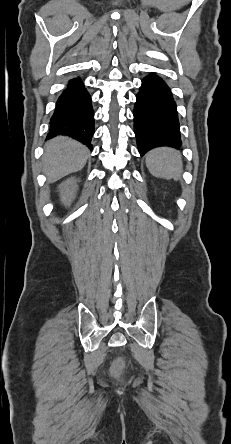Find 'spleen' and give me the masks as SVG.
Here are the masks:
<instances>
[{
	"instance_id": "1",
	"label": "spleen",
	"mask_w": 231,
	"mask_h": 444,
	"mask_svg": "<svg viewBox=\"0 0 231 444\" xmlns=\"http://www.w3.org/2000/svg\"><path fill=\"white\" fill-rule=\"evenodd\" d=\"M146 166L153 176L167 180L180 179L183 170L180 152L169 147H159L148 152Z\"/></svg>"
}]
</instances>
